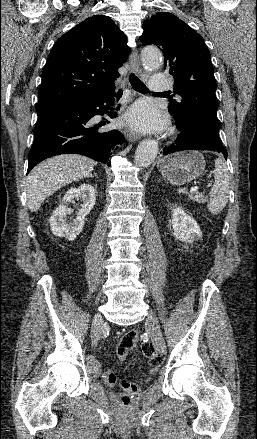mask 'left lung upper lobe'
<instances>
[{
  "label": "left lung upper lobe",
  "mask_w": 257,
  "mask_h": 439,
  "mask_svg": "<svg viewBox=\"0 0 257 439\" xmlns=\"http://www.w3.org/2000/svg\"><path fill=\"white\" fill-rule=\"evenodd\" d=\"M140 41L159 46L164 67L175 80L173 91L179 100L170 98L168 111L175 118L202 116L220 127L214 68L203 38L171 13H157L143 23Z\"/></svg>",
  "instance_id": "left-lung-upper-lobe-1"
}]
</instances>
